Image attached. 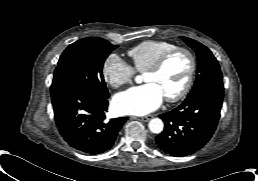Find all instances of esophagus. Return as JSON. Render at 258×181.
Returning <instances> with one entry per match:
<instances>
[{"label": "esophagus", "mask_w": 258, "mask_h": 181, "mask_svg": "<svg viewBox=\"0 0 258 181\" xmlns=\"http://www.w3.org/2000/svg\"><path fill=\"white\" fill-rule=\"evenodd\" d=\"M152 118H153L152 115H148V116L141 117V120L147 122V121L151 120Z\"/></svg>", "instance_id": "esophagus-1"}]
</instances>
